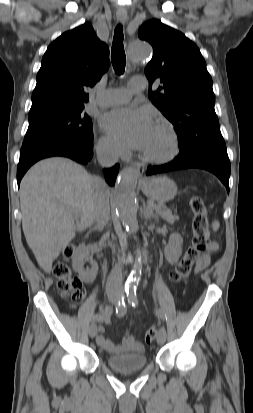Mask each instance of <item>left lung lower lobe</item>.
<instances>
[{"label":"left lung lower lobe","instance_id":"left-lung-lower-lobe-1","mask_svg":"<svg viewBox=\"0 0 253 413\" xmlns=\"http://www.w3.org/2000/svg\"><path fill=\"white\" fill-rule=\"evenodd\" d=\"M211 129L212 126L210 125L201 128L200 130L204 133L201 138H204L205 133ZM179 146L180 153L173 161L161 166H149L147 175L187 168L204 169L214 173L229 192L230 161L223 138L209 137L203 139L196 142L191 149Z\"/></svg>","mask_w":253,"mask_h":413}]
</instances>
